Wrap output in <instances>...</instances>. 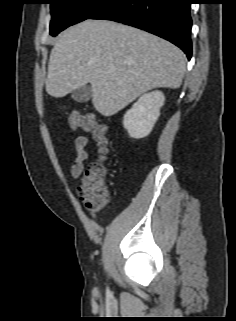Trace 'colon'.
<instances>
[{
    "label": "colon",
    "instance_id": "5ec220e1",
    "mask_svg": "<svg viewBox=\"0 0 236 321\" xmlns=\"http://www.w3.org/2000/svg\"><path fill=\"white\" fill-rule=\"evenodd\" d=\"M68 123L74 130L91 133L99 147L100 158L91 162L77 188L78 195L85 204L99 209L106 205L109 200L105 186L107 168L104 160L108 154L110 138L106 127L99 123L92 114L72 111L68 114Z\"/></svg>",
    "mask_w": 236,
    "mask_h": 321
}]
</instances>
